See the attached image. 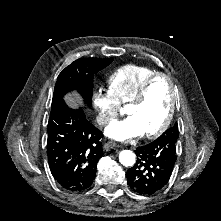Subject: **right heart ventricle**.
I'll use <instances>...</instances> for the list:
<instances>
[{"label":"right heart ventricle","mask_w":221,"mask_h":221,"mask_svg":"<svg viewBox=\"0 0 221 221\" xmlns=\"http://www.w3.org/2000/svg\"><path fill=\"white\" fill-rule=\"evenodd\" d=\"M156 73L158 70L147 65L128 64L114 70L108 76L107 84L119 102H127L132 99L143 82Z\"/></svg>","instance_id":"obj_1"}]
</instances>
